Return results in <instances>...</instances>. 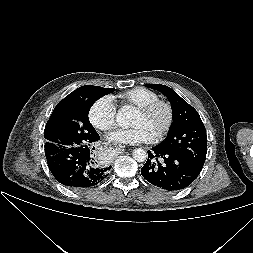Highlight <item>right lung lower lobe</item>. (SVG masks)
<instances>
[{
	"label": "right lung lower lobe",
	"mask_w": 253,
	"mask_h": 253,
	"mask_svg": "<svg viewBox=\"0 0 253 253\" xmlns=\"http://www.w3.org/2000/svg\"><path fill=\"white\" fill-rule=\"evenodd\" d=\"M94 140L87 145L71 147L54 155L46 156L47 164L55 179L70 188H89L102 182L111 168L98 161L94 149L99 140L96 132Z\"/></svg>",
	"instance_id": "1"
}]
</instances>
